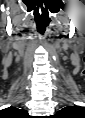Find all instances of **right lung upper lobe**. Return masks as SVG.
<instances>
[{"mask_svg": "<svg viewBox=\"0 0 85 118\" xmlns=\"http://www.w3.org/2000/svg\"><path fill=\"white\" fill-rule=\"evenodd\" d=\"M8 111L11 113H24L25 112L24 110H20V109H17L15 107L8 108Z\"/></svg>", "mask_w": 85, "mask_h": 118, "instance_id": "1", "label": "right lung upper lobe"}]
</instances>
